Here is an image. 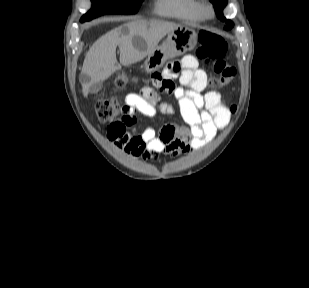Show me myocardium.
<instances>
[{"label": "myocardium", "mask_w": 309, "mask_h": 288, "mask_svg": "<svg viewBox=\"0 0 309 288\" xmlns=\"http://www.w3.org/2000/svg\"><path fill=\"white\" fill-rule=\"evenodd\" d=\"M202 13L204 17L212 18L214 16V8L210 4H202Z\"/></svg>", "instance_id": "obj_1"}]
</instances>
